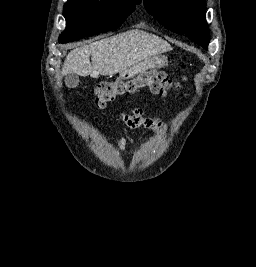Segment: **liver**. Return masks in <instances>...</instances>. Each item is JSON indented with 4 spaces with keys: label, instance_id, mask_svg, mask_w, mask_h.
I'll list each match as a JSON object with an SVG mask.
<instances>
[{
    "label": "liver",
    "instance_id": "1",
    "mask_svg": "<svg viewBox=\"0 0 256 267\" xmlns=\"http://www.w3.org/2000/svg\"><path fill=\"white\" fill-rule=\"evenodd\" d=\"M170 44L159 36L142 30H129L124 34L93 42L71 50L62 68V76H113L121 74L134 64H144L152 56L170 52ZM91 56V62H90Z\"/></svg>",
    "mask_w": 256,
    "mask_h": 267
}]
</instances>
